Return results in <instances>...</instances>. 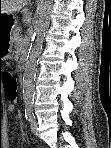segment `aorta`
I'll return each instance as SVG.
<instances>
[{"label": "aorta", "instance_id": "aorta-1", "mask_svg": "<svg viewBox=\"0 0 111 148\" xmlns=\"http://www.w3.org/2000/svg\"><path fill=\"white\" fill-rule=\"evenodd\" d=\"M52 1L53 0H41V4L36 10L34 33L22 81L23 99L26 103H31L34 98L36 67L42 50L45 32L49 26Z\"/></svg>", "mask_w": 111, "mask_h": 148}]
</instances>
